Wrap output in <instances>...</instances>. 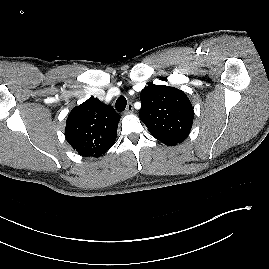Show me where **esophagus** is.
Wrapping results in <instances>:
<instances>
[{"mask_svg":"<svg viewBox=\"0 0 269 269\" xmlns=\"http://www.w3.org/2000/svg\"><path fill=\"white\" fill-rule=\"evenodd\" d=\"M134 111V108H133V105L132 103H128L127 107H126V110H125V113L126 114H132Z\"/></svg>","mask_w":269,"mask_h":269,"instance_id":"34e87169","label":"esophagus"}]
</instances>
